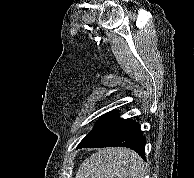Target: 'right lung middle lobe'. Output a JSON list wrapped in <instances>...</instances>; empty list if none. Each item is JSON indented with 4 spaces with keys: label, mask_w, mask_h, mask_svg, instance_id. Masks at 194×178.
<instances>
[{
    "label": "right lung middle lobe",
    "mask_w": 194,
    "mask_h": 178,
    "mask_svg": "<svg viewBox=\"0 0 194 178\" xmlns=\"http://www.w3.org/2000/svg\"><path fill=\"white\" fill-rule=\"evenodd\" d=\"M113 113L115 112H110V113H107L105 114L104 116H102V118L96 123V125H99L101 122H103L105 119H107L109 116H111Z\"/></svg>",
    "instance_id": "obj_1"
}]
</instances>
